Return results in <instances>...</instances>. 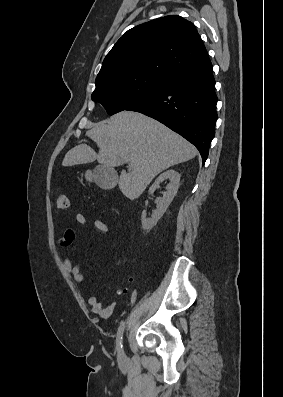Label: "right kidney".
Listing matches in <instances>:
<instances>
[{
    "mask_svg": "<svg viewBox=\"0 0 283 397\" xmlns=\"http://www.w3.org/2000/svg\"><path fill=\"white\" fill-rule=\"evenodd\" d=\"M166 179H169L170 183L167 185L166 192L163 197L156 199V209L153 211L151 218L146 217L145 211L142 213V228L146 231L151 230L157 224L158 220L165 213L166 209L177 193L178 187L180 185V174L177 171L170 169L158 176L154 184L150 187L149 194H153L154 191L159 188L160 183Z\"/></svg>",
    "mask_w": 283,
    "mask_h": 397,
    "instance_id": "obj_1",
    "label": "right kidney"
}]
</instances>
